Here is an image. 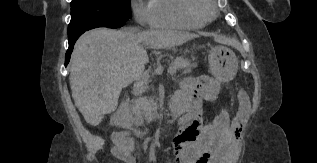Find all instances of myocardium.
<instances>
[{
  "label": "myocardium",
  "instance_id": "obj_1",
  "mask_svg": "<svg viewBox=\"0 0 317 163\" xmlns=\"http://www.w3.org/2000/svg\"><path fill=\"white\" fill-rule=\"evenodd\" d=\"M186 10L195 16L202 17L206 21L217 16V8L214 0H186Z\"/></svg>",
  "mask_w": 317,
  "mask_h": 163
}]
</instances>
